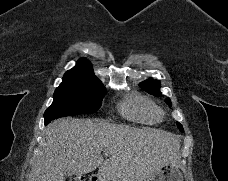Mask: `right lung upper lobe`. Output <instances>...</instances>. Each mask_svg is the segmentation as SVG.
I'll return each instance as SVG.
<instances>
[{
  "label": "right lung upper lobe",
  "instance_id": "cb5924a9",
  "mask_svg": "<svg viewBox=\"0 0 228 181\" xmlns=\"http://www.w3.org/2000/svg\"><path fill=\"white\" fill-rule=\"evenodd\" d=\"M94 82L100 81L94 75L90 62L82 58L73 69L65 73L61 85H81Z\"/></svg>",
  "mask_w": 228,
  "mask_h": 181
}]
</instances>
